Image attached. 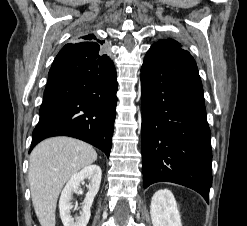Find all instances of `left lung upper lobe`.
Listing matches in <instances>:
<instances>
[{
    "instance_id": "left-lung-upper-lobe-1",
    "label": "left lung upper lobe",
    "mask_w": 247,
    "mask_h": 226,
    "mask_svg": "<svg viewBox=\"0 0 247 226\" xmlns=\"http://www.w3.org/2000/svg\"><path fill=\"white\" fill-rule=\"evenodd\" d=\"M152 46H170V47H178L182 48L181 44L172 39H163L153 44Z\"/></svg>"
}]
</instances>
